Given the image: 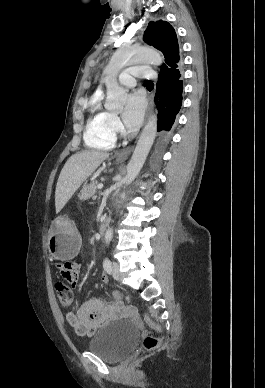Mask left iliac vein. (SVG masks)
<instances>
[{
    "mask_svg": "<svg viewBox=\"0 0 265 388\" xmlns=\"http://www.w3.org/2000/svg\"><path fill=\"white\" fill-rule=\"evenodd\" d=\"M112 276L115 280H119L120 278L119 264L117 262L113 263Z\"/></svg>",
    "mask_w": 265,
    "mask_h": 388,
    "instance_id": "1",
    "label": "left iliac vein"
}]
</instances>
